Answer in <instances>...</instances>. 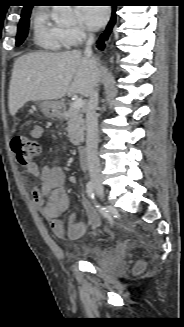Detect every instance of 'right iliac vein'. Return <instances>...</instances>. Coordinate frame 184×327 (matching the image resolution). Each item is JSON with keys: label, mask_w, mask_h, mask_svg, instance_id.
<instances>
[{"label": "right iliac vein", "mask_w": 184, "mask_h": 327, "mask_svg": "<svg viewBox=\"0 0 184 327\" xmlns=\"http://www.w3.org/2000/svg\"><path fill=\"white\" fill-rule=\"evenodd\" d=\"M94 185H95V189H96L97 193L103 197L104 196V188L101 185L100 181H95Z\"/></svg>", "instance_id": "1"}]
</instances>
